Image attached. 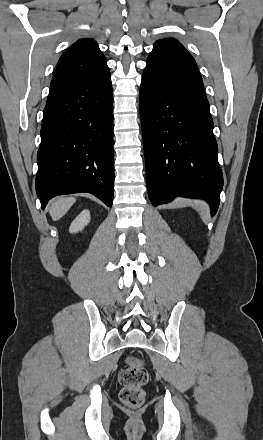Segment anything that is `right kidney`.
I'll return each instance as SVG.
<instances>
[{
	"label": "right kidney",
	"instance_id": "right-kidney-1",
	"mask_svg": "<svg viewBox=\"0 0 263 440\" xmlns=\"http://www.w3.org/2000/svg\"><path fill=\"white\" fill-rule=\"evenodd\" d=\"M89 221H90L89 210H83L71 223L69 232L77 233L81 231L89 223Z\"/></svg>",
	"mask_w": 263,
	"mask_h": 440
}]
</instances>
